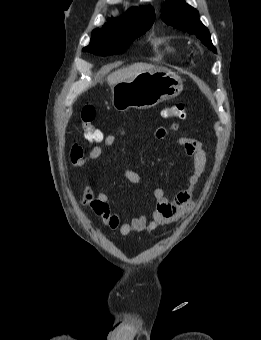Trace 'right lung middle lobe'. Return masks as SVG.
<instances>
[{"mask_svg":"<svg viewBox=\"0 0 261 340\" xmlns=\"http://www.w3.org/2000/svg\"><path fill=\"white\" fill-rule=\"evenodd\" d=\"M153 22L109 21L101 30L96 29L92 32L90 44L83 51L103 56L123 53L135 38L152 26Z\"/></svg>","mask_w":261,"mask_h":340,"instance_id":"obj_1","label":"right lung middle lobe"}]
</instances>
